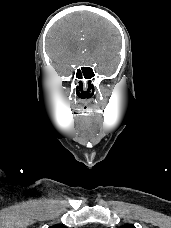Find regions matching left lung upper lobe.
Segmentation results:
<instances>
[{
	"label": "left lung upper lobe",
	"mask_w": 171,
	"mask_h": 228,
	"mask_svg": "<svg viewBox=\"0 0 171 228\" xmlns=\"http://www.w3.org/2000/svg\"><path fill=\"white\" fill-rule=\"evenodd\" d=\"M120 228H135L134 226H131V225H125V226H122Z\"/></svg>",
	"instance_id": "left-lung-upper-lobe-1"
}]
</instances>
